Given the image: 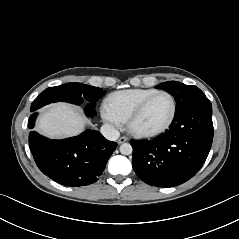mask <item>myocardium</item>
Returning a JSON list of instances; mask_svg holds the SVG:
<instances>
[{"label":"myocardium","instance_id":"1","mask_svg":"<svg viewBox=\"0 0 239 239\" xmlns=\"http://www.w3.org/2000/svg\"><path fill=\"white\" fill-rule=\"evenodd\" d=\"M158 95H167L171 99L172 113H171L170 118L163 126H161L158 129H155V130L142 131V130L136 129L134 126L135 121L141 115V113L144 111V109L148 105V103ZM177 109H178L177 101H176L175 97L170 92L165 91V90H157L156 92L152 93L151 95H149L145 99H143L131 112V114L129 115V117L127 119L128 130L131 134H133L137 137H140V138H152V137L161 135L164 132H166L173 124V122L176 118V115H177Z\"/></svg>","mask_w":239,"mask_h":239}]
</instances>
